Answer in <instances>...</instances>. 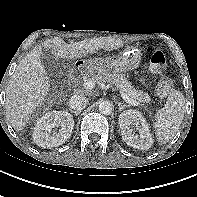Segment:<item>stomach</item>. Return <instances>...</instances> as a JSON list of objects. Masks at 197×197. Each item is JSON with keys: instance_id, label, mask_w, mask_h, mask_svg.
Listing matches in <instances>:
<instances>
[{"instance_id": "obj_1", "label": "stomach", "mask_w": 197, "mask_h": 197, "mask_svg": "<svg viewBox=\"0 0 197 197\" xmlns=\"http://www.w3.org/2000/svg\"><path fill=\"white\" fill-rule=\"evenodd\" d=\"M140 50L128 46L117 56L109 58H93L78 62V67L90 73L129 72L139 67L141 61Z\"/></svg>"}]
</instances>
